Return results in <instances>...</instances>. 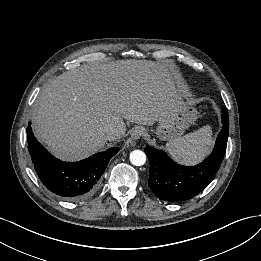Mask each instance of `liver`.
<instances>
[{
  "label": "liver",
  "mask_w": 261,
  "mask_h": 261,
  "mask_svg": "<svg viewBox=\"0 0 261 261\" xmlns=\"http://www.w3.org/2000/svg\"><path fill=\"white\" fill-rule=\"evenodd\" d=\"M185 97L168 64L135 59L85 64L62 73L40 92L33 128L55 156L76 161L105 146L106 128L119 130L122 137L123 119L153 125L184 105Z\"/></svg>",
  "instance_id": "6515ba94"
}]
</instances>
